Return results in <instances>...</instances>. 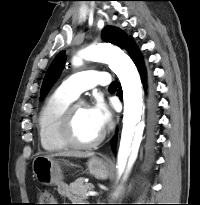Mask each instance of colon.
Here are the masks:
<instances>
[{
    "instance_id": "obj_1",
    "label": "colon",
    "mask_w": 200,
    "mask_h": 205,
    "mask_svg": "<svg viewBox=\"0 0 200 205\" xmlns=\"http://www.w3.org/2000/svg\"><path fill=\"white\" fill-rule=\"evenodd\" d=\"M38 205H55V198L47 189H42L37 194Z\"/></svg>"
}]
</instances>
